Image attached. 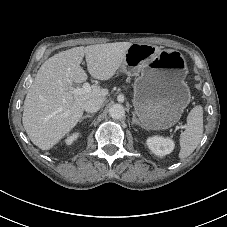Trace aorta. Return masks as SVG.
Returning a JSON list of instances; mask_svg holds the SVG:
<instances>
[{"label": "aorta", "mask_w": 227, "mask_h": 227, "mask_svg": "<svg viewBox=\"0 0 227 227\" xmlns=\"http://www.w3.org/2000/svg\"><path fill=\"white\" fill-rule=\"evenodd\" d=\"M109 115L113 119H120L125 115V109L121 104H113L109 108Z\"/></svg>", "instance_id": "aorta-1"}]
</instances>
